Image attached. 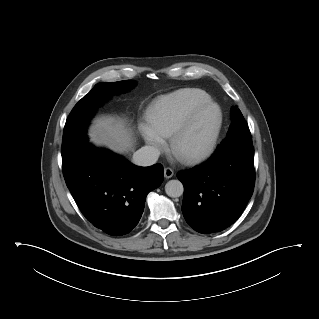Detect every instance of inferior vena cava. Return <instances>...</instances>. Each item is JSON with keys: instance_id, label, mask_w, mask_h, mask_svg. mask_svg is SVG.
Wrapping results in <instances>:
<instances>
[{"instance_id": "obj_1", "label": "inferior vena cava", "mask_w": 319, "mask_h": 319, "mask_svg": "<svg viewBox=\"0 0 319 319\" xmlns=\"http://www.w3.org/2000/svg\"><path fill=\"white\" fill-rule=\"evenodd\" d=\"M160 151L153 146H144L133 154V163L138 166H150L156 163Z\"/></svg>"}]
</instances>
